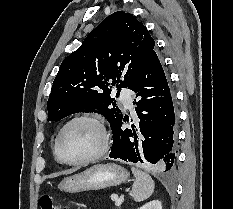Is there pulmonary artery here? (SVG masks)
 <instances>
[{
  "label": "pulmonary artery",
  "mask_w": 233,
  "mask_h": 209,
  "mask_svg": "<svg viewBox=\"0 0 233 209\" xmlns=\"http://www.w3.org/2000/svg\"><path fill=\"white\" fill-rule=\"evenodd\" d=\"M120 100L127 108L132 107V93L129 89H123L120 94Z\"/></svg>",
  "instance_id": "1"
}]
</instances>
